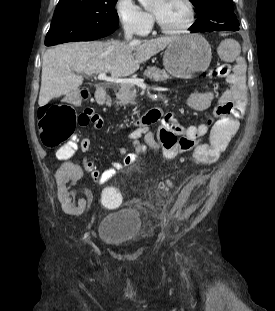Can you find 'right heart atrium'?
Here are the masks:
<instances>
[{
  "instance_id": "right-heart-atrium-1",
  "label": "right heart atrium",
  "mask_w": 275,
  "mask_h": 311,
  "mask_svg": "<svg viewBox=\"0 0 275 311\" xmlns=\"http://www.w3.org/2000/svg\"><path fill=\"white\" fill-rule=\"evenodd\" d=\"M114 11L120 26L127 32L145 35L152 28L151 15L134 0H115Z\"/></svg>"
}]
</instances>
